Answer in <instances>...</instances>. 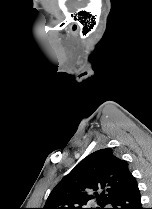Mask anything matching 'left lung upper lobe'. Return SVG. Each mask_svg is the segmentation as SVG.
<instances>
[{
  "mask_svg": "<svg viewBox=\"0 0 152 209\" xmlns=\"http://www.w3.org/2000/svg\"><path fill=\"white\" fill-rule=\"evenodd\" d=\"M132 174L111 148L84 158L50 193L43 209H87L93 200L104 209L121 193Z\"/></svg>",
  "mask_w": 152,
  "mask_h": 209,
  "instance_id": "1",
  "label": "left lung upper lobe"
}]
</instances>
